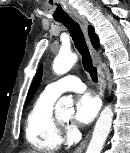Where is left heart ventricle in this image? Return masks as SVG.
<instances>
[{
  "label": "left heart ventricle",
  "instance_id": "left-heart-ventricle-1",
  "mask_svg": "<svg viewBox=\"0 0 130 153\" xmlns=\"http://www.w3.org/2000/svg\"><path fill=\"white\" fill-rule=\"evenodd\" d=\"M60 118L63 120V121H67L69 119V116H60Z\"/></svg>",
  "mask_w": 130,
  "mask_h": 153
}]
</instances>
